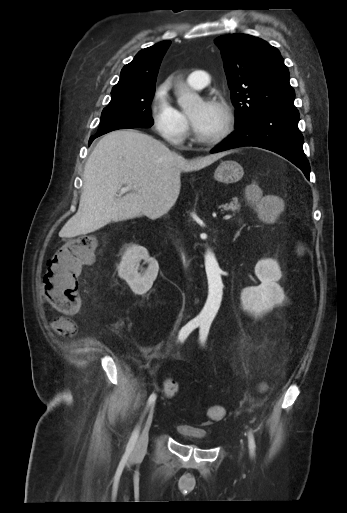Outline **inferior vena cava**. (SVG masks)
Instances as JSON below:
<instances>
[{"mask_svg": "<svg viewBox=\"0 0 347 513\" xmlns=\"http://www.w3.org/2000/svg\"><path fill=\"white\" fill-rule=\"evenodd\" d=\"M173 204H174V201H171V200L164 202L162 205V211L164 213H167L170 210V208L173 206ZM182 259L185 262V256L183 253H182Z\"/></svg>", "mask_w": 347, "mask_h": 513, "instance_id": "602c4592", "label": "inferior vena cava"}]
</instances>
